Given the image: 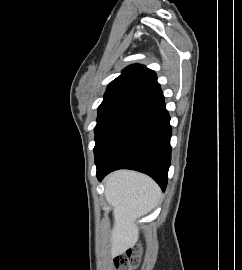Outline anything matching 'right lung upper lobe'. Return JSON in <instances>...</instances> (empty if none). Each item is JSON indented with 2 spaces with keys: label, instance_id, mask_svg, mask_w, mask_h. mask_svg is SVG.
Masks as SVG:
<instances>
[{
  "label": "right lung upper lobe",
  "instance_id": "obj_1",
  "mask_svg": "<svg viewBox=\"0 0 242 270\" xmlns=\"http://www.w3.org/2000/svg\"><path fill=\"white\" fill-rule=\"evenodd\" d=\"M161 94L155 72L135 64L125 68L122 74L109 84L99 107L112 104L139 106Z\"/></svg>",
  "mask_w": 242,
  "mask_h": 270
}]
</instances>
